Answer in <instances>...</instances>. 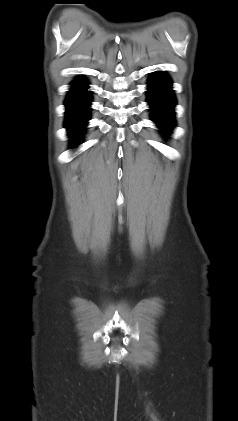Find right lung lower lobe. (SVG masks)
<instances>
[{
	"instance_id": "obj_1",
	"label": "right lung lower lobe",
	"mask_w": 238,
	"mask_h": 421,
	"mask_svg": "<svg viewBox=\"0 0 238 421\" xmlns=\"http://www.w3.org/2000/svg\"><path fill=\"white\" fill-rule=\"evenodd\" d=\"M87 82L84 79H76L73 88L69 91L65 101L66 120L65 126L69 131L73 146L79 143L81 131L89 120L91 95L86 90Z\"/></svg>"
}]
</instances>
